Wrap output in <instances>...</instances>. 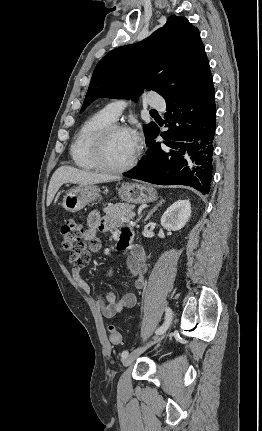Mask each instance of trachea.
<instances>
[{
	"mask_svg": "<svg viewBox=\"0 0 262 431\" xmlns=\"http://www.w3.org/2000/svg\"><path fill=\"white\" fill-rule=\"evenodd\" d=\"M150 113L151 114H157V111L156 110H151Z\"/></svg>",
	"mask_w": 262,
	"mask_h": 431,
	"instance_id": "1",
	"label": "trachea"
}]
</instances>
